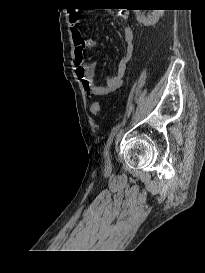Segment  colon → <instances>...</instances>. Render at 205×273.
<instances>
[{
  "mask_svg": "<svg viewBox=\"0 0 205 273\" xmlns=\"http://www.w3.org/2000/svg\"><path fill=\"white\" fill-rule=\"evenodd\" d=\"M92 114L99 115L101 111V105L99 102H93L90 106Z\"/></svg>",
  "mask_w": 205,
  "mask_h": 273,
  "instance_id": "5ec220e1",
  "label": "colon"
}]
</instances>
